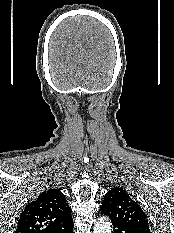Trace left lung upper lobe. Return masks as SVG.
<instances>
[{"instance_id":"left-lung-upper-lobe-1","label":"left lung upper lobe","mask_w":174,"mask_h":233,"mask_svg":"<svg viewBox=\"0 0 174 233\" xmlns=\"http://www.w3.org/2000/svg\"><path fill=\"white\" fill-rule=\"evenodd\" d=\"M100 211L103 215L108 216L111 222L150 233L146 214L122 188L114 187L105 194Z\"/></svg>"}]
</instances>
